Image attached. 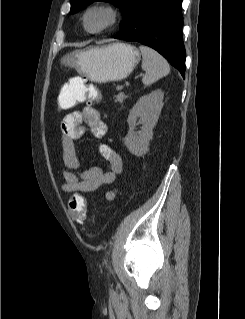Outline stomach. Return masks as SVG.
I'll return each mask as SVG.
<instances>
[{"instance_id":"stomach-1","label":"stomach","mask_w":245,"mask_h":319,"mask_svg":"<svg viewBox=\"0 0 245 319\" xmlns=\"http://www.w3.org/2000/svg\"><path fill=\"white\" fill-rule=\"evenodd\" d=\"M140 60V53L126 43H111L74 51L61 64L74 68L93 82L106 83L125 79Z\"/></svg>"}]
</instances>
